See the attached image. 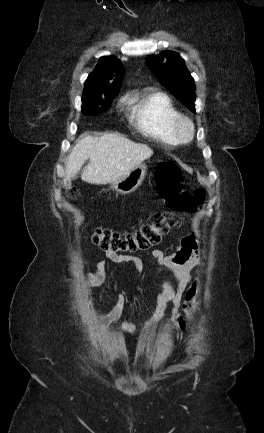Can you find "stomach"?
I'll use <instances>...</instances> for the list:
<instances>
[{"instance_id":"0dacf381","label":"stomach","mask_w":264,"mask_h":433,"mask_svg":"<svg viewBox=\"0 0 264 433\" xmlns=\"http://www.w3.org/2000/svg\"><path fill=\"white\" fill-rule=\"evenodd\" d=\"M147 166L140 163L133 168L127 175L111 183V188L120 194L134 192L142 183L146 175Z\"/></svg>"}]
</instances>
